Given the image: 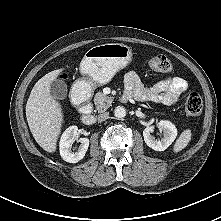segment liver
<instances>
[{"label":"liver","mask_w":221,"mask_h":221,"mask_svg":"<svg viewBox=\"0 0 221 221\" xmlns=\"http://www.w3.org/2000/svg\"><path fill=\"white\" fill-rule=\"evenodd\" d=\"M63 69L49 72L34 85L26 104V118L30 131L45 151L53 153L61 132L63 113L61 105L50 94V84Z\"/></svg>","instance_id":"6515ba94"}]
</instances>
